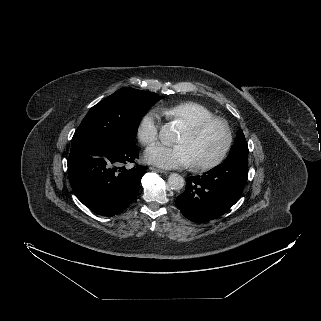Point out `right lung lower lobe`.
<instances>
[{
	"mask_svg": "<svg viewBox=\"0 0 321 321\" xmlns=\"http://www.w3.org/2000/svg\"><path fill=\"white\" fill-rule=\"evenodd\" d=\"M138 157L136 144L80 140L71 143L67 160L73 192L90 210L114 216L136 198L147 167L126 169Z\"/></svg>",
	"mask_w": 321,
	"mask_h": 321,
	"instance_id": "obj_1",
	"label": "right lung lower lobe"
}]
</instances>
